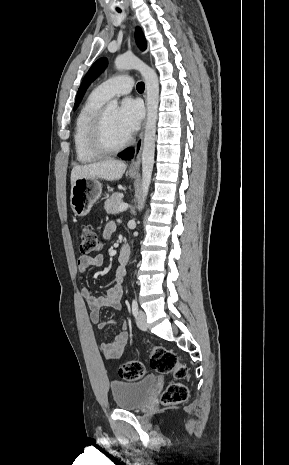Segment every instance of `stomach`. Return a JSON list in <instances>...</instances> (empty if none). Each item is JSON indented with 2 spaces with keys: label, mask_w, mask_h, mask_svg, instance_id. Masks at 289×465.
Wrapping results in <instances>:
<instances>
[{
  "label": "stomach",
  "mask_w": 289,
  "mask_h": 465,
  "mask_svg": "<svg viewBox=\"0 0 289 465\" xmlns=\"http://www.w3.org/2000/svg\"><path fill=\"white\" fill-rule=\"evenodd\" d=\"M131 178L136 173H129ZM102 184L98 178H79L71 187L70 205L76 216H86L101 197Z\"/></svg>",
  "instance_id": "stomach-1"
}]
</instances>
